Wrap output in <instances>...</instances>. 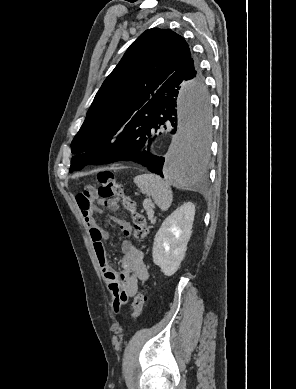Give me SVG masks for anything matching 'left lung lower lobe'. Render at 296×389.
<instances>
[{"label": "left lung lower lobe", "mask_w": 296, "mask_h": 389, "mask_svg": "<svg viewBox=\"0 0 296 389\" xmlns=\"http://www.w3.org/2000/svg\"><path fill=\"white\" fill-rule=\"evenodd\" d=\"M172 76L157 90L152 98V105L147 110L136 113L111 142L101 150L98 165L121 160L133 161L144 165L149 171L163 176L164 158L153 154L152 147L161 127H170L171 133H176L178 127L176 97L182 82L188 80L195 122L185 130V139L194 164L193 177H199L203 174L209 153V100L204 82L203 79L191 78L192 75L189 77L186 75Z\"/></svg>", "instance_id": "obj_1"}]
</instances>
